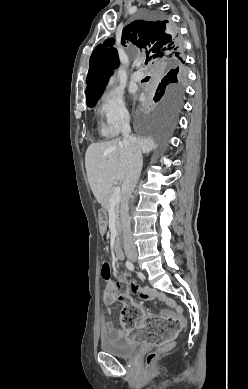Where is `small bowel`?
<instances>
[{
    "instance_id": "obj_1",
    "label": "small bowel",
    "mask_w": 248,
    "mask_h": 389,
    "mask_svg": "<svg viewBox=\"0 0 248 389\" xmlns=\"http://www.w3.org/2000/svg\"><path fill=\"white\" fill-rule=\"evenodd\" d=\"M111 287H113V286H111ZM128 291L129 292H136V295L139 296L140 302H143L147 299H158V300L164 302L166 304V306L169 308V310L163 312L161 315L166 317V318L182 317V308L180 306H177L176 302L173 299L168 298L164 293L158 292V291H156L154 289H150L148 287H144L140 292L139 285H129ZM124 297L126 298L127 296H124ZM115 301H112L109 303L104 301L105 304L107 305V312L111 311L109 305ZM151 316H152L151 314L144 315L143 320L141 322H138L137 326H141L143 324V322ZM100 330H101V335H109V334H113V333H118V334L126 337L128 335V333H130L129 331H125L123 329L120 331L115 330L113 323L111 321H102L101 326H100Z\"/></svg>"
}]
</instances>
